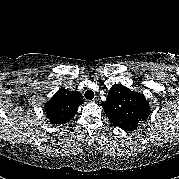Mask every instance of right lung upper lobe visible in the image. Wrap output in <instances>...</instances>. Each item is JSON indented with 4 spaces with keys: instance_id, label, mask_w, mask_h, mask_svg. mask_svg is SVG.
<instances>
[{
    "instance_id": "obj_1",
    "label": "right lung upper lobe",
    "mask_w": 179,
    "mask_h": 179,
    "mask_svg": "<svg viewBox=\"0 0 179 179\" xmlns=\"http://www.w3.org/2000/svg\"><path fill=\"white\" fill-rule=\"evenodd\" d=\"M83 103L79 92L62 88L46 102L44 111L52 124L63 125L75 116L78 107Z\"/></svg>"
}]
</instances>
